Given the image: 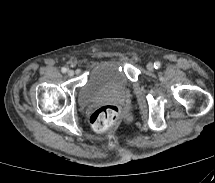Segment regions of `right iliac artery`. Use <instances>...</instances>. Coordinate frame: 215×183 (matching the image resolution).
I'll list each match as a JSON object with an SVG mask.
<instances>
[{"label": "right iliac artery", "mask_w": 215, "mask_h": 183, "mask_svg": "<svg viewBox=\"0 0 215 183\" xmlns=\"http://www.w3.org/2000/svg\"><path fill=\"white\" fill-rule=\"evenodd\" d=\"M61 71H62L63 73H66V72H67V68L63 67V68L61 69Z\"/></svg>", "instance_id": "obj_1"}]
</instances>
